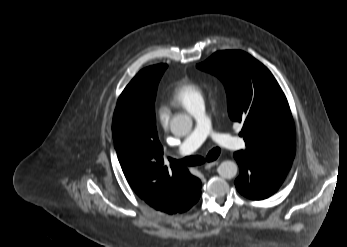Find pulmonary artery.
Segmentation results:
<instances>
[{"label": "pulmonary artery", "mask_w": 347, "mask_h": 247, "mask_svg": "<svg viewBox=\"0 0 347 247\" xmlns=\"http://www.w3.org/2000/svg\"><path fill=\"white\" fill-rule=\"evenodd\" d=\"M196 119L194 130L184 139L178 149V154L185 156L196 151L210 135V122L205 113L203 100H198L189 111ZM213 140L221 147L238 150L245 147V141L230 134H214Z\"/></svg>", "instance_id": "1"}]
</instances>
